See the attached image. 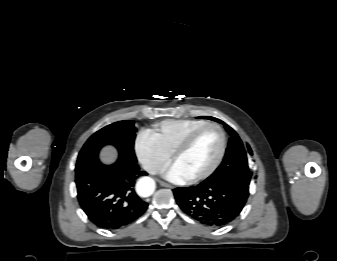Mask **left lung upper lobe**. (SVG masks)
<instances>
[{"label":"left lung upper lobe","mask_w":337,"mask_h":261,"mask_svg":"<svg viewBox=\"0 0 337 261\" xmlns=\"http://www.w3.org/2000/svg\"><path fill=\"white\" fill-rule=\"evenodd\" d=\"M208 118L223 123L231 137L223 162L205 181L226 183L248 197L251 173L248 167L246 150L241 139L237 133L224 122L216 118ZM247 149L248 152L252 154L249 146H247Z\"/></svg>","instance_id":"1"}]
</instances>
